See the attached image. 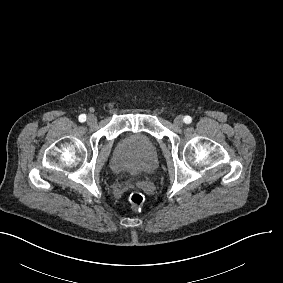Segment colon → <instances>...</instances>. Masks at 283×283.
<instances>
[{
  "label": "colon",
  "instance_id": "obj_1",
  "mask_svg": "<svg viewBox=\"0 0 283 283\" xmlns=\"http://www.w3.org/2000/svg\"><path fill=\"white\" fill-rule=\"evenodd\" d=\"M128 201L134 208L138 209L145 204L146 195L142 191L136 190L129 194Z\"/></svg>",
  "mask_w": 283,
  "mask_h": 283
}]
</instances>
